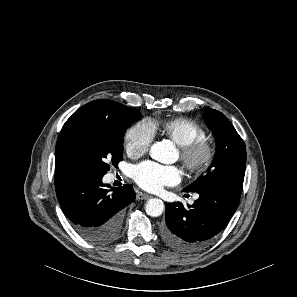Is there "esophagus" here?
I'll return each instance as SVG.
<instances>
[{
  "label": "esophagus",
  "instance_id": "esophagus-1",
  "mask_svg": "<svg viewBox=\"0 0 297 297\" xmlns=\"http://www.w3.org/2000/svg\"><path fill=\"white\" fill-rule=\"evenodd\" d=\"M136 198L138 200H147V199L151 198V196L146 193L138 192L136 195Z\"/></svg>",
  "mask_w": 297,
  "mask_h": 297
}]
</instances>
